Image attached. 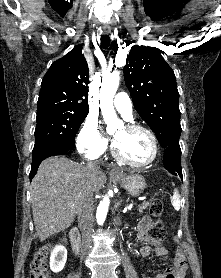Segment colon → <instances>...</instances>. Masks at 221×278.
<instances>
[{
	"mask_svg": "<svg viewBox=\"0 0 221 278\" xmlns=\"http://www.w3.org/2000/svg\"><path fill=\"white\" fill-rule=\"evenodd\" d=\"M149 213L154 218H159L163 214V203L159 199H152L149 205ZM149 235L155 242H161L167 237V232L161 221H155L149 229ZM53 244L41 247L34 255L31 262L30 278H51L46 262L50 255ZM168 278H173V273L167 274Z\"/></svg>",
	"mask_w": 221,
	"mask_h": 278,
	"instance_id": "obj_1",
	"label": "colon"
}]
</instances>
